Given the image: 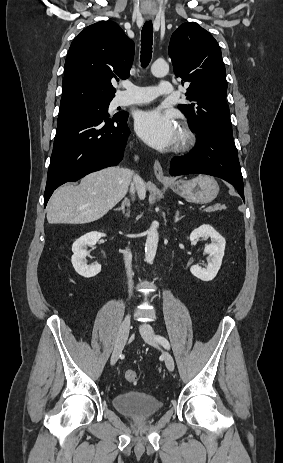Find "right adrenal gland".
<instances>
[{
  "label": "right adrenal gland",
  "instance_id": "2a0ac1e0",
  "mask_svg": "<svg viewBox=\"0 0 283 463\" xmlns=\"http://www.w3.org/2000/svg\"><path fill=\"white\" fill-rule=\"evenodd\" d=\"M125 208H127L126 212H125ZM129 208H130V201L128 198H124V200L121 203V207L116 208L115 210L116 211L121 210L125 216H129V213H130Z\"/></svg>",
  "mask_w": 283,
  "mask_h": 463
}]
</instances>
